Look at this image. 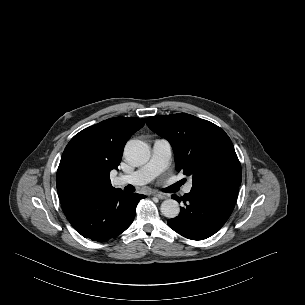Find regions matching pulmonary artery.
Masks as SVG:
<instances>
[{"instance_id":"1","label":"pulmonary artery","mask_w":305,"mask_h":305,"mask_svg":"<svg viewBox=\"0 0 305 305\" xmlns=\"http://www.w3.org/2000/svg\"><path fill=\"white\" fill-rule=\"evenodd\" d=\"M171 159L172 148L170 143L163 138L155 139L152 145V156L149 162L130 174L119 175L115 180V184L144 185L164 171L170 164ZM191 189L192 183L189 182L183 188V192L188 194Z\"/></svg>"}]
</instances>
